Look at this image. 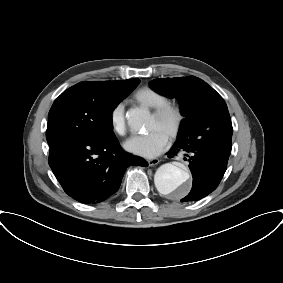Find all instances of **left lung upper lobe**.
<instances>
[{"instance_id":"obj_1","label":"left lung upper lobe","mask_w":283,"mask_h":283,"mask_svg":"<svg viewBox=\"0 0 283 283\" xmlns=\"http://www.w3.org/2000/svg\"><path fill=\"white\" fill-rule=\"evenodd\" d=\"M157 93L180 101L181 121L178 138L192 131L197 142L210 151L230 154L232 123L224 99L206 82L195 76L154 79Z\"/></svg>"}]
</instances>
